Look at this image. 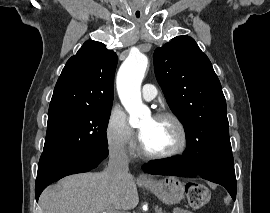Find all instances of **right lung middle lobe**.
Listing matches in <instances>:
<instances>
[{
  "mask_svg": "<svg viewBox=\"0 0 270 213\" xmlns=\"http://www.w3.org/2000/svg\"><path fill=\"white\" fill-rule=\"evenodd\" d=\"M110 113L111 108L63 107L49 110L41 157L107 148L106 130Z\"/></svg>",
  "mask_w": 270,
  "mask_h": 213,
  "instance_id": "obj_1",
  "label": "right lung middle lobe"
}]
</instances>
